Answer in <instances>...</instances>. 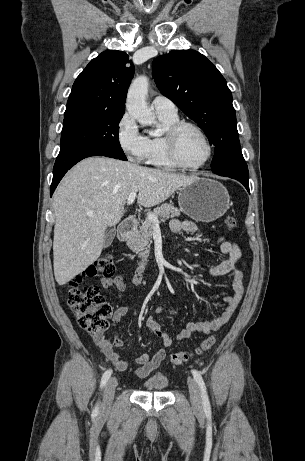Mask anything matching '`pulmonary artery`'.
Returning <instances> with one entry per match:
<instances>
[{
	"label": "pulmonary artery",
	"instance_id": "1",
	"mask_svg": "<svg viewBox=\"0 0 305 461\" xmlns=\"http://www.w3.org/2000/svg\"><path fill=\"white\" fill-rule=\"evenodd\" d=\"M152 106L157 113L175 115L177 108L175 104L163 95H157L153 98Z\"/></svg>",
	"mask_w": 305,
	"mask_h": 461
}]
</instances>
